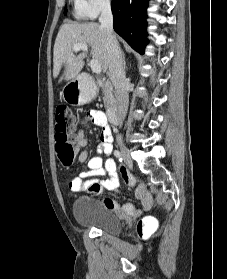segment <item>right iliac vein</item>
Returning <instances> with one entry per match:
<instances>
[{"instance_id": "obj_1", "label": "right iliac vein", "mask_w": 227, "mask_h": 279, "mask_svg": "<svg viewBox=\"0 0 227 279\" xmlns=\"http://www.w3.org/2000/svg\"><path fill=\"white\" fill-rule=\"evenodd\" d=\"M118 144H119L121 154L124 158L125 163L129 167H131L133 165V162H132V158H131L129 149L124 145V143L122 141H120Z\"/></svg>"}]
</instances>
